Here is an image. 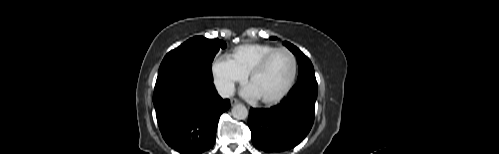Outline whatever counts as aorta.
I'll return each instance as SVG.
<instances>
[{
	"label": "aorta",
	"instance_id": "obj_1",
	"mask_svg": "<svg viewBox=\"0 0 499 154\" xmlns=\"http://www.w3.org/2000/svg\"><path fill=\"white\" fill-rule=\"evenodd\" d=\"M232 116L238 120H244L248 117V110L243 104H237L232 108Z\"/></svg>",
	"mask_w": 499,
	"mask_h": 154
}]
</instances>
